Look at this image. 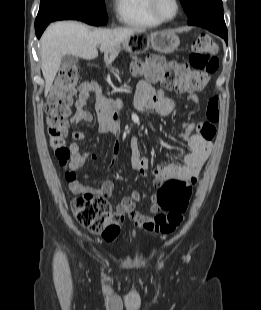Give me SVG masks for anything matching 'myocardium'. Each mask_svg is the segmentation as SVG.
I'll return each instance as SVG.
<instances>
[{"instance_id": "obj_1", "label": "myocardium", "mask_w": 261, "mask_h": 310, "mask_svg": "<svg viewBox=\"0 0 261 310\" xmlns=\"http://www.w3.org/2000/svg\"><path fill=\"white\" fill-rule=\"evenodd\" d=\"M150 1V9L152 14L162 23L163 22H171L174 19H176V17L178 16L180 9H181V5H180V1L179 0H173L175 3V13L171 16V17H164L163 15L160 14L159 10H158V0H149Z\"/></svg>"}]
</instances>
